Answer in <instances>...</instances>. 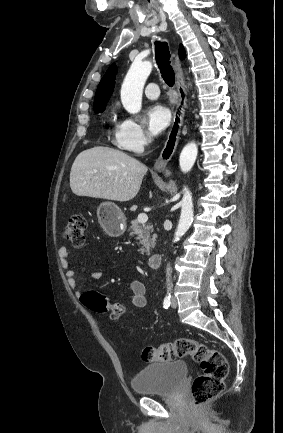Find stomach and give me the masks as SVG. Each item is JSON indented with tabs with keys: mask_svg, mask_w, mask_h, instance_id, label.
<instances>
[{
	"mask_svg": "<svg viewBox=\"0 0 283 433\" xmlns=\"http://www.w3.org/2000/svg\"><path fill=\"white\" fill-rule=\"evenodd\" d=\"M99 223L107 235L120 237L126 231L125 214L115 202H101L97 208Z\"/></svg>",
	"mask_w": 283,
	"mask_h": 433,
	"instance_id": "stomach-1",
	"label": "stomach"
}]
</instances>
